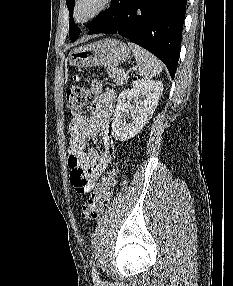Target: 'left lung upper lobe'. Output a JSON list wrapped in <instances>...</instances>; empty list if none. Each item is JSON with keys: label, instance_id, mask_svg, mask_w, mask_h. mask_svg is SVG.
Wrapping results in <instances>:
<instances>
[{"label": "left lung upper lobe", "instance_id": "obj_1", "mask_svg": "<svg viewBox=\"0 0 233 286\" xmlns=\"http://www.w3.org/2000/svg\"><path fill=\"white\" fill-rule=\"evenodd\" d=\"M74 1L75 0H66V4L70 14L69 20V36L72 42L76 41L80 35V29L73 22V9H74Z\"/></svg>", "mask_w": 233, "mask_h": 286}]
</instances>
